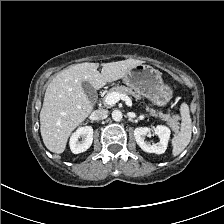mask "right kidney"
<instances>
[{
  "label": "right kidney",
  "instance_id": "ca27d5eb",
  "mask_svg": "<svg viewBox=\"0 0 224 224\" xmlns=\"http://www.w3.org/2000/svg\"><path fill=\"white\" fill-rule=\"evenodd\" d=\"M80 137L82 140L80 141ZM93 142V128L91 126L80 127L70 138V149L74 154L85 152Z\"/></svg>",
  "mask_w": 224,
  "mask_h": 224
}]
</instances>
